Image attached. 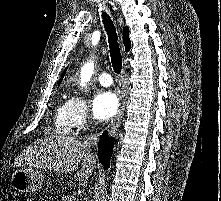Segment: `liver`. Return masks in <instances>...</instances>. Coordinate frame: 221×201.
Instances as JSON below:
<instances>
[{
    "label": "liver",
    "instance_id": "6515ba94",
    "mask_svg": "<svg viewBox=\"0 0 221 201\" xmlns=\"http://www.w3.org/2000/svg\"><path fill=\"white\" fill-rule=\"evenodd\" d=\"M80 163L81 169L75 173L74 179L83 182L92 175L96 164L90 146L70 137L50 135L26 147L14 165L67 173L77 170Z\"/></svg>",
    "mask_w": 221,
    "mask_h": 201
}]
</instances>
